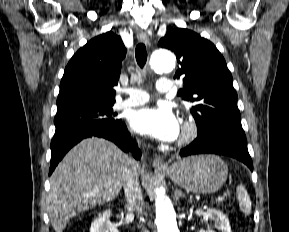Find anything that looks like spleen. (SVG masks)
Returning <instances> with one entry per match:
<instances>
[{"label":"spleen","instance_id":"1","mask_svg":"<svg viewBox=\"0 0 289 232\" xmlns=\"http://www.w3.org/2000/svg\"><path fill=\"white\" fill-rule=\"evenodd\" d=\"M236 193H237V198L239 200L240 209L245 214H250L252 206H251L250 196L248 195L246 188L242 184H240L237 187Z\"/></svg>","mask_w":289,"mask_h":232}]
</instances>
